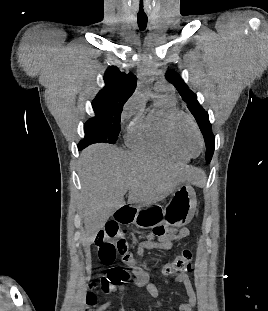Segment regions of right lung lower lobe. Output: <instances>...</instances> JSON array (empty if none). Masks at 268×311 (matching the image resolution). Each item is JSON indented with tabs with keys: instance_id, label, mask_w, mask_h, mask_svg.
Instances as JSON below:
<instances>
[{
	"instance_id": "right-lung-lower-lobe-1",
	"label": "right lung lower lobe",
	"mask_w": 268,
	"mask_h": 311,
	"mask_svg": "<svg viewBox=\"0 0 268 311\" xmlns=\"http://www.w3.org/2000/svg\"><path fill=\"white\" fill-rule=\"evenodd\" d=\"M78 149H79V150H82L83 148H82L81 146H78Z\"/></svg>"
}]
</instances>
